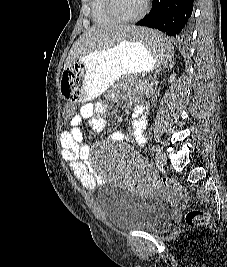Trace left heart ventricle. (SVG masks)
Segmentation results:
<instances>
[{
    "mask_svg": "<svg viewBox=\"0 0 227 267\" xmlns=\"http://www.w3.org/2000/svg\"><path fill=\"white\" fill-rule=\"evenodd\" d=\"M144 0H117L116 6L123 16L136 15L142 8Z\"/></svg>",
    "mask_w": 227,
    "mask_h": 267,
    "instance_id": "obj_1",
    "label": "left heart ventricle"
}]
</instances>
